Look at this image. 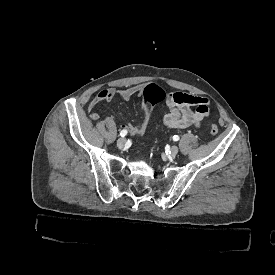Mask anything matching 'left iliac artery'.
Instances as JSON below:
<instances>
[{"mask_svg": "<svg viewBox=\"0 0 275 275\" xmlns=\"http://www.w3.org/2000/svg\"><path fill=\"white\" fill-rule=\"evenodd\" d=\"M179 139H180V138H179L178 135H174V136H173V140H174V141H178Z\"/></svg>", "mask_w": 275, "mask_h": 275, "instance_id": "44dca946", "label": "left iliac artery"}]
</instances>
